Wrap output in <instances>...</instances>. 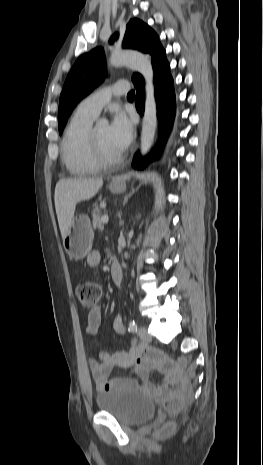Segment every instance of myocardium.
Listing matches in <instances>:
<instances>
[{"mask_svg": "<svg viewBox=\"0 0 263 465\" xmlns=\"http://www.w3.org/2000/svg\"><path fill=\"white\" fill-rule=\"evenodd\" d=\"M87 141L91 156L95 163L100 167H110L118 164L122 160V153L114 157H108L103 153L96 136V127H91V129L89 130L87 135Z\"/></svg>", "mask_w": 263, "mask_h": 465, "instance_id": "1", "label": "myocardium"}]
</instances>
